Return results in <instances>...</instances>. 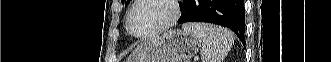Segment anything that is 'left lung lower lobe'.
<instances>
[{"mask_svg": "<svg viewBox=\"0 0 331 62\" xmlns=\"http://www.w3.org/2000/svg\"><path fill=\"white\" fill-rule=\"evenodd\" d=\"M185 13L178 20L185 22H208L225 26L235 32L245 44V10L243 0H187Z\"/></svg>", "mask_w": 331, "mask_h": 62, "instance_id": "obj_1", "label": "left lung lower lobe"}]
</instances>
